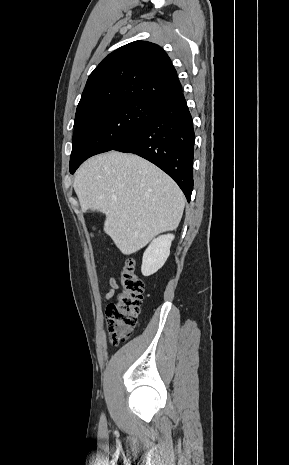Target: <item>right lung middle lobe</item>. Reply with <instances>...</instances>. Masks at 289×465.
<instances>
[{
    "mask_svg": "<svg viewBox=\"0 0 289 465\" xmlns=\"http://www.w3.org/2000/svg\"><path fill=\"white\" fill-rule=\"evenodd\" d=\"M158 104L146 100L121 101L101 108L75 124L70 169L87 158L112 150L142 127Z\"/></svg>",
    "mask_w": 289,
    "mask_h": 465,
    "instance_id": "right-lung-middle-lobe-1",
    "label": "right lung middle lobe"
}]
</instances>
